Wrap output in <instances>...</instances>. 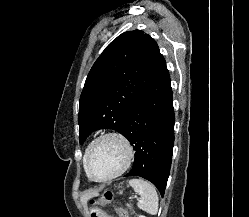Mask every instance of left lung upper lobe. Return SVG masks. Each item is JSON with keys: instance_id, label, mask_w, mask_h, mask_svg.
I'll return each mask as SVG.
<instances>
[{"instance_id": "left-lung-upper-lobe-1", "label": "left lung upper lobe", "mask_w": 249, "mask_h": 217, "mask_svg": "<svg viewBox=\"0 0 249 217\" xmlns=\"http://www.w3.org/2000/svg\"><path fill=\"white\" fill-rule=\"evenodd\" d=\"M166 67L154 39L143 31L124 32L92 66L79 100L80 144L98 129L124 134L127 117Z\"/></svg>"}]
</instances>
